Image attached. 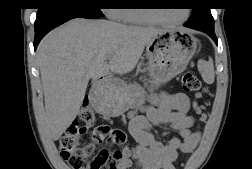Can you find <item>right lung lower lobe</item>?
I'll list each match as a JSON object with an SVG mask.
<instances>
[{"mask_svg":"<svg viewBox=\"0 0 252 169\" xmlns=\"http://www.w3.org/2000/svg\"><path fill=\"white\" fill-rule=\"evenodd\" d=\"M87 18V19H98L99 16H95L86 12L77 11V10H67L53 12L46 16L37 18L34 24L35 28V40H34V49H36L40 40L53 28L71 20L73 18Z\"/></svg>","mask_w":252,"mask_h":169,"instance_id":"obj_1","label":"right lung lower lobe"}]
</instances>
